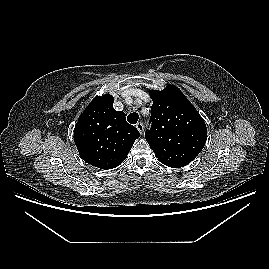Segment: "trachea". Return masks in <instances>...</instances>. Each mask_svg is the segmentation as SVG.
Returning a JSON list of instances; mask_svg holds the SVG:
<instances>
[{"label":"trachea","mask_w":269,"mask_h":269,"mask_svg":"<svg viewBox=\"0 0 269 269\" xmlns=\"http://www.w3.org/2000/svg\"><path fill=\"white\" fill-rule=\"evenodd\" d=\"M139 115L137 113H131L127 116V121L131 124L137 123Z\"/></svg>","instance_id":"trachea-1"}]
</instances>
